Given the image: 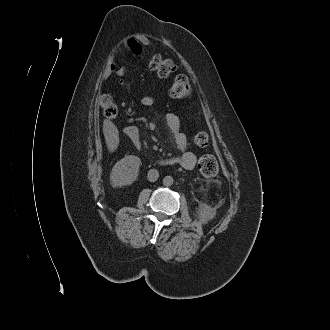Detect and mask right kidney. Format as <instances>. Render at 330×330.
I'll return each instance as SVG.
<instances>
[{"label": "right kidney", "mask_w": 330, "mask_h": 330, "mask_svg": "<svg viewBox=\"0 0 330 330\" xmlns=\"http://www.w3.org/2000/svg\"><path fill=\"white\" fill-rule=\"evenodd\" d=\"M141 160L134 155L125 156L118 161L110 173L113 187L131 185L138 177Z\"/></svg>", "instance_id": "1"}]
</instances>
